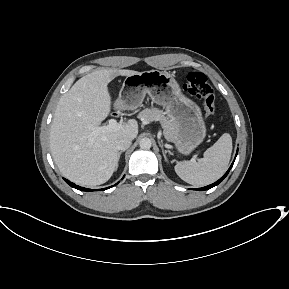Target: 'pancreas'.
<instances>
[{"instance_id": "obj_1", "label": "pancreas", "mask_w": 289, "mask_h": 289, "mask_svg": "<svg viewBox=\"0 0 289 289\" xmlns=\"http://www.w3.org/2000/svg\"><path fill=\"white\" fill-rule=\"evenodd\" d=\"M138 117L144 122L160 121L165 138L169 141L173 139L175 125L169 118L164 116L163 111L157 108H147L140 112Z\"/></svg>"}]
</instances>
